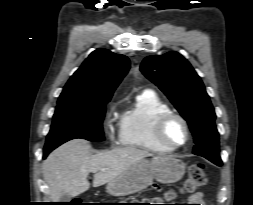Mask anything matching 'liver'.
I'll list each match as a JSON object with an SVG mask.
<instances>
[{
    "label": "liver",
    "instance_id": "6515ba94",
    "mask_svg": "<svg viewBox=\"0 0 253 205\" xmlns=\"http://www.w3.org/2000/svg\"><path fill=\"white\" fill-rule=\"evenodd\" d=\"M151 154L136 147L117 148L91 154L87 140L74 139L52 151L42 164L44 180L54 202L63 194L78 196L90 188L87 176L94 173L93 187H99Z\"/></svg>",
    "mask_w": 253,
    "mask_h": 205
}]
</instances>
